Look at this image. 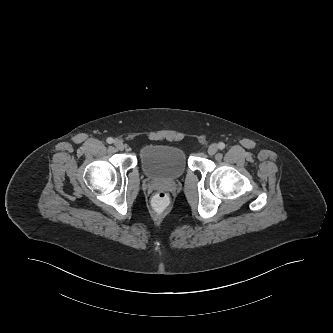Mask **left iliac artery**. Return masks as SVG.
Returning <instances> with one entry per match:
<instances>
[{
  "mask_svg": "<svg viewBox=\"0 0 333 333\" xmlns=\"http://www.w3.org/2000/svg\"><path fill=\"white\" fill-rule=\"evenodd\" d=\"M218 148L221 149V150L224 149L225 144L223 142L218 143Z\"/></svg>",
  "mask_w": 333,
  "mask_h": 333,
  "instance_id": "obj_1",
  "label": "left iliac artery"
}]
</instances>
